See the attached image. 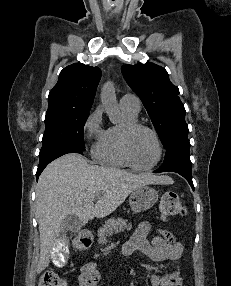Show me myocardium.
I'll return each instance as SVG.
<instances>
[{"mask_svg": "<svg viewBox=\"0 0 231 286\" xmlns=\"http://www.w3.org/2000/svg\"><path fill=\"white\" fill-rule=\"evenodd\" d=\"M138 130L148 131L154 137L157 148H158V155H157L155 162L146 167L138 166L133 160L131 152H130L131 137ZM120 147H121L122 155L127 161V163L129 164V166L132 167L134 170L140 171V172L151 171L160 163L163 157V144H162V141L158 133L152 127L139 123V122L128 123L123 126L121 130V135H120Z\"/></svg>", "mask_w": 231, "mask_h": 286, "instance_id": "myocardium-1", "label": "myocardium"}]
</instances>
